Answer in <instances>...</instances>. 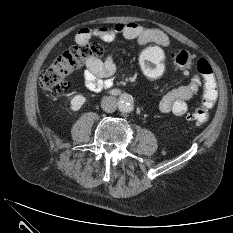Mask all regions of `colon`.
<instances>
[{
    "instance_id": "1",
    "label": "colon",
    "mask_w": 233,
    "mask_h": 233,
    "mask_svg": "<svg viewBox=\"0 0 233 233\" xmlns=\"http://www.w3.org/2000/svg\"><path fill=\"white\" fill-rule=\"evenodd\" d=\"M103 48L98 43H87L72 46L60 54L45 67L40 74V87L43 91L53 95H65L71 86L70 75L79 69L90 56H100ZM174 65L187 70L192 64L191 54L183 49L172 54ZM165 54L161 47L154 43L147 44L140 56V66L144 75L156 79L163 74ZM198 74L203 78L205 89L202 105L189 116L194 126H201L209 119V109L217 98L216 81L210 63L206 59H199L195 64Z\"/></svg>"
}]
</instances>
